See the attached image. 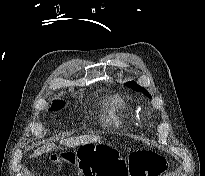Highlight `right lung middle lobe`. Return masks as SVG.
<instances>
[{
	"mask_svg": "<svg viewBox=\"0 0 205 176\" xmlns=\"http://www.w3.org/2000/svg\"><path fill=\"white\" fill-rule=\"evenodd\" d=\"M64 105H65V103L63 101L55 100L53 103V106L50 108V110L57 111V110L61 109Z\"/></svg>",
	"mask_w": 205,
	"mask_h": 176,
	"instance_id": "right-lung-middle-lobe-1",
	"label": "right lung middle lobe"
}]
</instances>
